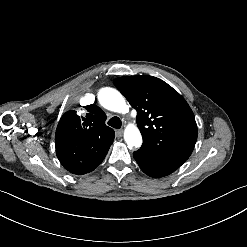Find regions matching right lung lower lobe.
I'll list each match as a JSON object with an SVG mask.
<instances>
[{"label": "right lung lower lobe", "mask_w": 247, "mask_h": 247, "mask_svg": "<svg viewBox=\"0 0 247 247\" xmlns=\"http://www.w3.org/2000/svg\"><path fill=\"white\" fill-rule=\"evenodd\" d=\"M100 164L101 163H99L97 165L84 167V168H74L73 170H68V171H70L71 173L77 174V175H81V174H85V173H88V172H92Z\"/></svg>", "instance_id": "98d812e1"}]
</instances>
